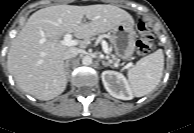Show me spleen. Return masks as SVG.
<instances>
[{"instance_id":"3e777b00","label":"spleen","mask_w":194,"mask_h":133,"mask_svg":"<svg viewBox=\"0 0 194 133\" xmlns=\"http://www.w3.org/2000/svg\"><path fill=\"white\" fill-rule=\"evenodd\" d=\"M164 69V55L158 49L141 58L127 72L128 82L133 94L142 97L156 88L159 84Z\"/></svg>"}]
</instances>
